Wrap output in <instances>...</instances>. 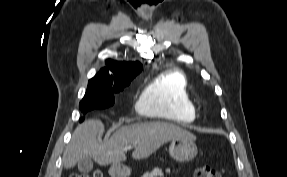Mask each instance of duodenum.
I'll list each match as a JSON object with an SVG mask.
<instances>
[{
    "mask_svg": "<svg viewBox=\"0 0 287 177\" xmlns=\"http://www.w3.org/2000/svg\"><path fill=\"white\" fill-rule=\"evenodd\" d=\"M114 173L121 177H128V172L125 168H115Z\"/></svg>",
    "mask_w": 287,
    "mask_h": 177,
    "instance_id": "1",
    "label": "duodenum"
}]
</instances>
